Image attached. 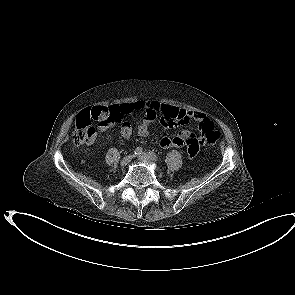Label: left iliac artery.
Here are the masks:
<instances>
[{
    "label": "left iliac artery",
    "instance_id": "left-iliac-artery-1",
    "mask_svg": "<svg viewBox=\"0 0 295 295\" xmlns=\"http://www.w3.org/2000/svg\"><path fill=\"white\" fill-rule=\"evenodd\" d=\"M149 156L155 161L158 160L157 155L153 151H149Z\"/></svg>",
    "mask_w": 295,
    "mask_h": 295
}]
</instances>
